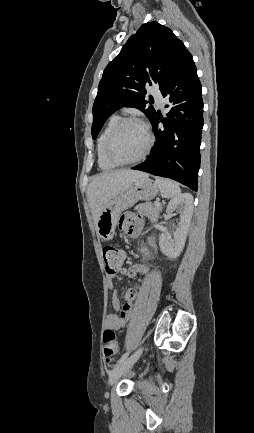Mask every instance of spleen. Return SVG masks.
I'll return each instance as SVG.
<instances>
[{
	"label": "spleen",
	"mask_w": 254,
	"mask_h": 433,
	"mask_svg": "<svg viewBox=\"0 0 254 433\" xmlns=\"http://www.w3.org/2000/svg\"><path fill=\"white\" fill-rule=\"evenodd\" d=\"M155 183L159 187L161 195L164 198H174L181 192L179 185L170 179L157 177Z\"/></svg>",
	"instance_id": "1"
}]
</instances>
